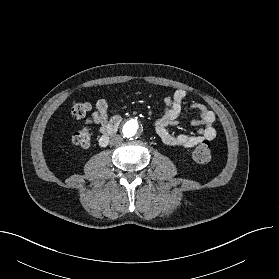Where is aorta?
Wrapping results in <instances>:
<instances>
[{
	"label": "aorta",
	"instance_id": "obj_1",
	"mask_svg": "<svg viewBox=\"0 0 279 279\" xmlns=\"http://www.w3.org/2000/svg\"><path fill=\"white\" fill-rule=\"evenodd\" d=\"M139 132L140 126L138 122L134 119L127 120L122 124L121 133L127 139L136 137L139 134Z\"/></svg>",
	"mask_w": 279,
	"mask_h": 279
}]
</instances>
